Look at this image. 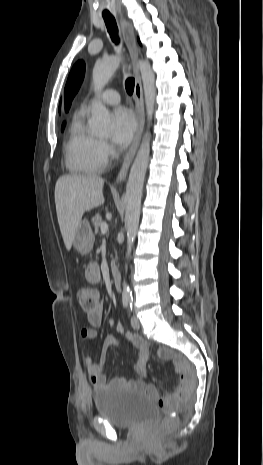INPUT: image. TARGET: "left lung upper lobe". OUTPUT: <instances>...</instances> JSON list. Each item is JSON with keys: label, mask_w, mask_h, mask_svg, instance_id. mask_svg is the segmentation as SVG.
I'll list each match as a JSON object with an SVG mask.
<instances>
[{"label": "left lung upper lobe", "mask_w": 263, "mask_h": 465, "mask_svg": "<svg viewBox=\"0 0 263 465\" xmlns=\"http://www.w3.org/2000/svg\"><path fill=\"white\" fill-rule=\"evenodd\" d=\"M85 73V63L80 60L73 66L65 86V110L68 111Z\"/></svg>", "instance_id": "1"}]
</instances>
